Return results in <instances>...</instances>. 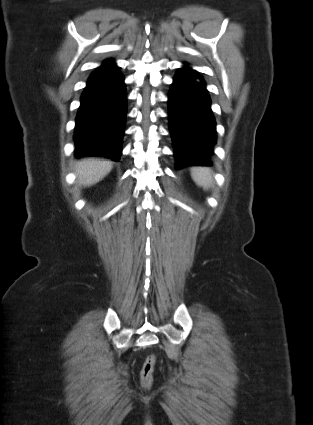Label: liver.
Here are the masks:
<instances>
[{
	"label": "liver",
	"instance_id": "6515ba94",
	"mask_svg": "<svg viewBox=\"0 0 313 425\" xmlns=\"http://www.w3.org/2000/svg\"><path fill=\"white\" fill-rule=\"evenodd\" d=\"M113 167L111 161L83 159L77 163L75 172L80 185L91 186L102 180Z\"/></svg>",
	"mask_w": 313,
	"mask_h": 425
}]
</instances>
